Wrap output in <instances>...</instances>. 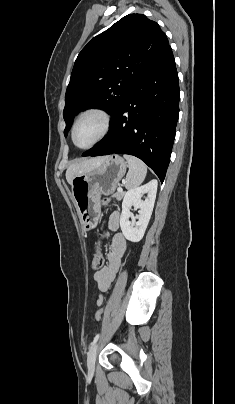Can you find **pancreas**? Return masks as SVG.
Masks as SVG:
<instances>
[{"instance_id":"obj_1","label":"pancreas","mask_w":235,"mask_h":404,"mask_svg":"<svg viewBox=\"0 0 235 404\" xmlns=\"http://www.w3.org/2000/svg\"><path fill=\"white\" fill-rule=\"evenodd\" d=\"M124 192H116L112 195L113 198H116L118 201H120L124 197Z\"/></svg>"}]
</instances>
